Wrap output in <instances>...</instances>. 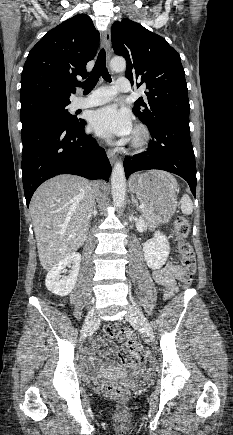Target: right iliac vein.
Segmentation results:
<instances>
[{
    "label": "right iliac vein",
    "mask_w": 233,
    "mask_h": 435,
    "mask_svg": "<svg viewBox=\"0 0 233 435\" xmlns=\"http://www.w3.org/2000/svg\"><path fill=\"white\" fill-rule=\"evenodd\" d=\"M95 319H96L95 311L94 309H91L86 316L85 322L81 330V337L83 340L86 338L88 332L94 325Z\"/></svg>",
    "instance_id": "obj_1"
}]
</instances>
